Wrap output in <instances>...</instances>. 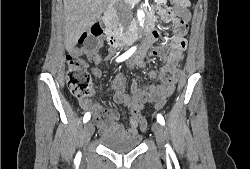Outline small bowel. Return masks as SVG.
<instances>
[{
    "label": "small bowel",
    "mask_w": 250,
    "mask_h": 169,
    "mask_svg": "<svg viewBox=\"0 0 250 169\" xmlns=\"http://www.w3.org/2000/svg\"><path fill=\"white\" fill-rule=\"evenodd\" d=\"M165 11H162L164 14ZM176 22L183 20L187 22L190 18L187 6L176 7ZM154 15H151L149 22L153 21ZM149 42L144 44L141 49L136 52L133 59L128 62L129 69L138 67L143 68L146 65V59L158 58L163 65L160 69L149 72V77L156 80L155 84H147L143 87L134 80L131 85L132 95L127 94L125 89V77L122 73H118L112 79L107 92L113 93V102L126 108L129 112V119L125 125L119 123L120 113L114 109L106 108L102 103L93 102L88 98H78L79 104L85 111H90L93 115L94 122L100 125L104 134L108 133H128L133 134L136 131L137 123L135 115H130V103H146L145 99L148 95H156V91H169L171 95L175 89V85L181 76V66L186 48V41L183 37L177 36L173 38L171 45H160L153 49L150 53L145 54ZM98 46L92 48L76 47L72 54L78 59L82 67H88L89 63H98L101 60L97 51ZM86 57V58H83ZM93 75L99 77L101 72L99 69L92 70Z\"/></svg>",
    "instance_id": "obj_1"
}]
</instances>
